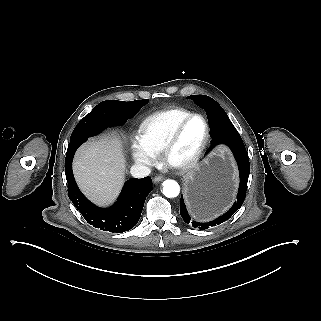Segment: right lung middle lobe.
Here are the masks:
<instances>
[{
  "label": "right lung middle lobe",
  "mask_w": 321,
  "mask_h": 321,
  "mask_svg": "<svg viewBox=\"0 0 321 321\" xmlns=\"http://www.w3.org/2000/svg\"><path fill=\"white\" fill-rule=\"evenodd\" d=\"M148 101L149 100L144 99L132 101L131 103L137 105L139 108H142L148 103ZM98 105L78 123L71 135L70 140L83 136H95L106 128V125H104L100 118L96 115V109L98 108Z\"/></svg>",
  "instance_id": "right-lung-middle-lobe-1"
}]
</instances>
